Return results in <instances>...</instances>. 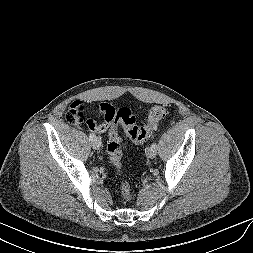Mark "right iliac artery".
<instances>
[{
  "mask_svg": "<svg viewBox=\"0 0 253 253\" xmlns=\"http://www.w3.org/2000/svg\"><path fill=\"white\" fill-rule=\"evenodd\" d=\"M95 137H96V136H95L93 133H90V134H89V138H90L91 141H92Z\"/></svg>",
  "mask_w": 253,
  "mask_h": 253,
  "instance_id": "right-iliac-artery-1",
  "label": "right iliac artery"
}]
</instances>
